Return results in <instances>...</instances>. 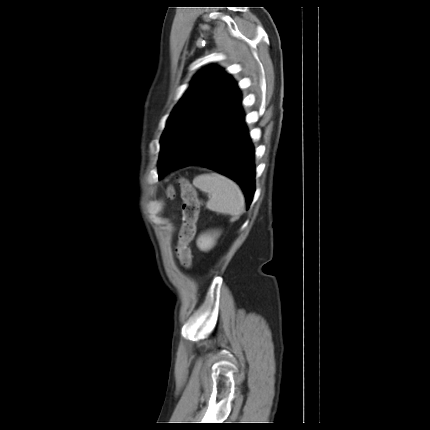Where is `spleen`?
<instances>
[{"label": "spleen", "instance_id": "1", "mask_svg": "<svg viewBox=\"0 0 430 430\" xmlns=\"http://www.w3.org/2000/svg\"><path fill=\"white\" fill-rule=\"evenodd\" d=\"M193 185L208 193L207 208L231 215H239L245 210L241 189L231 179L219 174H202L194 178Z\"/></svg>", "mask_w": 430, "mask_h": 430}]
</instances>
